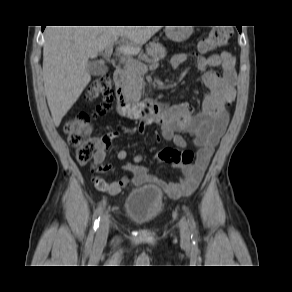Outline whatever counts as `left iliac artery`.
<instances>
[{"instance_id": "1", "label": "left iliac artery", "mask_w": 292, "mask_h": 292, "mask_svg": "<svg viewBox=\"0 0 292 292\" xmlns=\"http://www.w3.org/2000/svg\"><path fill=\"white\" fill-rule=\"evenodd\" d=\"M187 215L189 217V222H190V228H191V231H192V235L191 237H193V239L195 240V222H194V219L192 218V216L190 215L189 211H187Z\"/></svg>"}]
</instances>
